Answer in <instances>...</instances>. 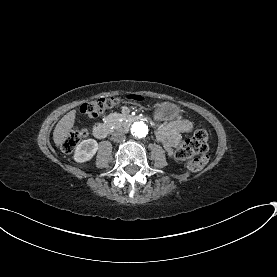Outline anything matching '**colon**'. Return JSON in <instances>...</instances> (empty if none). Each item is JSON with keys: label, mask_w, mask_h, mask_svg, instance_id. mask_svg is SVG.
<instances>
[{"label": "colon", "mask_w": 277, "mask_h": 277, "mask_svg": "<svg viewBox=\"0 0 277 277\" xmlns=\"http://www.w3.org/2000/svg\"><path fill=\"white\" fill-rule=\"evenodd\" d=\"M123 100L131 102H142L145 100L142 96L130 95V96H109L98 97L90 101L85 102L81 111L89 117H96L104 114L108 110L114 108L120 104ZM86 130L71 131L65 138L62 144V149L65 152L72 151L80 140L86 137ZM208 150V133L204 129L196 130L191 133L178 147L176 151V157L179 160L187 161V167L191 172L201 171L207 164L209 157L206 155L201 158H193L194 154H205Z\"/></svg>", "instance_id": "colon-1"}]
</instances>
